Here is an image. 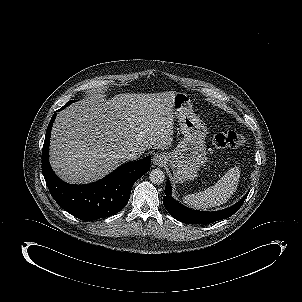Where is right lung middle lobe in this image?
Masks as SVG:
<instances>
[{"label": "right lung middle lobe", "mask_w": 302, "mask_h": 302, "mask_svg": "<svg viewBox=\"0 0 302 302\" xmlns=\"http://www.w3.org/2000/svg\"><path fill=\"white\" fill-rule=\"evenodd\" d=\"M72 102H73V101L67 102L61 109H63V108H65V107L69 106Z\"/></svg>", "instance_id": "dd1d6c3e"}]
</instances>
